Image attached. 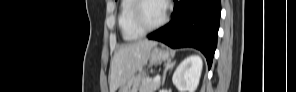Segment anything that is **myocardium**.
<instances>
[{
  "instance_id": "myocardium-1",
  "label": "myocardium",
  "mask_w": 296,
  "mask_h": 92,
  "mask_svg": "<svg viewBox=\"0 0 296 92\" xmlns=\"http://www.w3.org/2000/svg\"><path fill=\"white\" fill-rule=\"evenodd\" d=\"M147 1L148 0L135 1L134 5H133V9H132V16H131L132 22L135 25V27L143 33H147V32H150V31L160 28L161 26H163L165 24V22L167 21V18H168L166 4L164 2H162L164 4V14H163V17L161 18V20L153 25L145 24V22L143 21V18H142V8H143V5L145 4V2H147Z\"/></svg>"
}]
</instances>
